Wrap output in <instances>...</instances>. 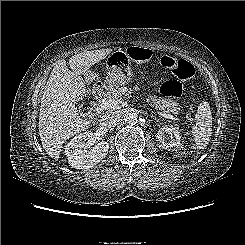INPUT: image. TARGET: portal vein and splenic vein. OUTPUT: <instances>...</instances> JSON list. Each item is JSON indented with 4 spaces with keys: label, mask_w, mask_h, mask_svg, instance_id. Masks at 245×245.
<instances>
[{
    "label": "portal vein and splenic vein",
    "mask_w": 245,
    "mask_h": 245,
    "mask_svg": "<svg viewBox=\"0 0 245 245\" xmlns=\"http://www.w3.org/2000/svg\"><path fill=\"white\" fill-rule=\"evenodd\" d=\"M118 104H119V100H117V99L103 100L101 102V104H98L93 109V111L97 112V113H100V112H103L105 110H115L117 108ZM158 114L160 116H163V117H165L167 119H171V120H174V121H179L180 120L178 117H174L173 115H170V114H167V113L158 112Z\"/></svg>",
    "instance_id": "portal-vein-and-splenic-vein-1"
}]
</instances>
